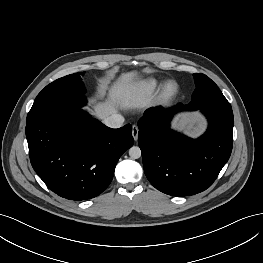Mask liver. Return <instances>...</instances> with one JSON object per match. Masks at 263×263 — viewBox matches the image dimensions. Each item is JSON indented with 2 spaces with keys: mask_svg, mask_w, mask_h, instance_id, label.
<instances>
[{
  "mask_svg": "<svg viewBox=\"0 0 263 263\" xmlns=\"http://www.w3.org/2000/svg\"><path fill=\"white\" fill-rule=\"evenodd\" d=\"M135 72L122 74L118 82L110 90V99L94 106V115L102 120L117 111L118 106L137 107L142 104L135 85Z\"/></svg>",
  "mask_w": 263,
  "mask_h": 263,
  "instance_id": "obj_1",
  "label": "liver"
}]
</instances>
